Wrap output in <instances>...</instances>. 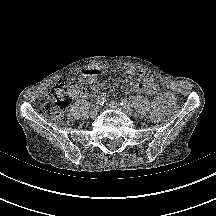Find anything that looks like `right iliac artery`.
Returning <instances> with one entry per match:
<instances>
[{
  "instance_id": "right-iliac-artery-1",
  "label": "right iliac artery",
  "mask_w": 216,
  "mask_h": 216,
  "mask_svg": "<svg viewBox=\"0 0 216 216\" xmlns=\"http://www.w3.org/2000/svg\"><path fill=\"white\" fill-rule=\"evenodd\" d=\"M105 102H106V95L105 94L100 95L96 100V104H98V105H103Z\"/></svg>"
}]
</instances>
